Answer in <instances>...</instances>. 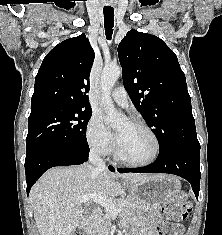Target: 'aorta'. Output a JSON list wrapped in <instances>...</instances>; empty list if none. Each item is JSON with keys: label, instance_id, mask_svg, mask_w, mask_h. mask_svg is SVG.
Wrapping results in <instances>:
<instances>
[{"label": "aorta", "instance_id": "obj_1", "mask_svg": "<svg viewBox=\"0 0 222 235\" xmlns=\"http://www.w3.org/2000/svg\"><path fill=\"white\" fill-rule=\"evenodd\" d=\"M122 73L118 65L105 66L101 74V102L106 113V122L110 126H116L124 120V115L115 109L111 98V90Z\"/></svg>", "mask_w": 222, "mask_h": 235}]
</instances>
